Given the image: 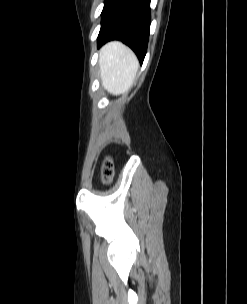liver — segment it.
<instances>
[{
  "instance_id": "obj_1",
  "label": "liver",
  "mask_w": 247,
  "mask_h": 304,
  "mask_svg": "<svg viewBox=\"0 0 247 304\" xmlns=\"http://www.w3.org/2000/svg\"><path fill=\"white\" fill-rule=\"evenodd\" d=\"M100 79L110 94L127 92L133 85L139 63L133 51L119 41L104 45L99 54Z\"/></svg>"
}]
</instances>
